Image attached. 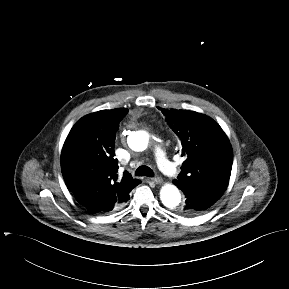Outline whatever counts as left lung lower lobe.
<instances>
[{"label": "left lung lower lobe", "mask_w": 289, "mask_h": 289, "mask_svg": "<svg viewBox=\"0 0 289 289\" xmlns=\"http://www.w3.org/2000/svg\"><path fill=\"white\" fill-rule=\"evenodd\" d=\"M180 189L185 193L186 202L179 212L187 216L203 213L219 199L209 193Z\"/></svg>", "instance_id": "1"}]
</instances>
